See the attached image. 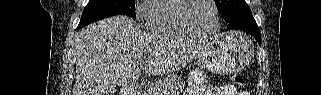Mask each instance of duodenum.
<instances>
[{
    "label": "duodenum",
    "mask_w": 321,
    "mask_h": 95,
    "mask_svg": "<svg viewBox=\"0 0 321 95\" xmlns=\"http://www.w3.org/2000/svg\"><path fill=\"white\" fill-rule=\"evenodd\" d=\"M140 94V93H139ZM120 95H130V93L127 90H124L120 93Z\"/></svg>",
    "instance_id": "1"
}]
</instances>
